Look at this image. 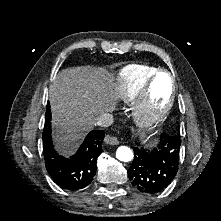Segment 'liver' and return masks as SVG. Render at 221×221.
<instances>
[{
	"label": "liver",
	"instance_id": "liver-1",
	"mask_svg": "<svg viewBox=\"0 0 221 221\" xmlns=\"http://www.w3.org/2000/svg\"><path fill=\"white\" fill-rule=\"evenodd\" d=\"M118 85L103 67L61 70L49 89L55 141L65 154L96 125L97 118L115 109Z\"/></svg>",
	"mask_w": 221,
	"mask_h": 221
}]
</instances>
